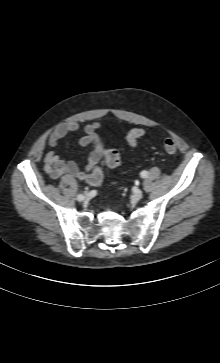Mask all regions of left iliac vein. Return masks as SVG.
Masks as SVG:
<instances>
[{
  "instance_id": "4c4485c4",
  "label": "left iliac vein",
  "mask_w": 220,
  "mask_h": 363,
  "mask_svg": "<svg viewBox=\"0 0 220 363\" xmlns=\"http://www.w3.org/2000/svg\"><path fill=\"white\" fill-rule=\"evenodd\" d=\"M142 196H143L142 190L136 189L131 196V200L132 202L136 203L142 198Z\"/></svg>"
}]
</instances>
